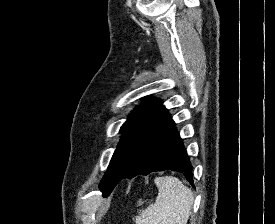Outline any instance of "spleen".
Masks as SVG:
<instances>
[{
  "instance_id": "obj_1",
  "label": "spleen",
  "mask_w": 275,
  "mask_h": 224,
  "mask_svg": "<svg viewBox=\"0 0 275 224\" xmlns=\"http://www.w3.org/2000/svg\"><path fill=\"white\" fill-rule=\"evenodd\" d=\"M155 203L134 218L136 224H187L193 206V193L178 178L156 177Z\"/></svg>"
}]
</instances>
